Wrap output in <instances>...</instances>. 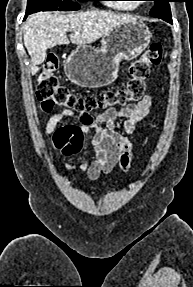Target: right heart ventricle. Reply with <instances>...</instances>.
<instances>
[{
  "label": "right heart ventricle",
  "mask_w": 193,
  "mask_h": 287,
  "mask_svg": "<svg viewBox=\"0 0 193 287\" xmlns=\"http://www.w3.org/2000/svg\"><path fill=\"white\" fill-rule=\"evenodd\" d=\"M112 6L120 10H131L133 8V6L129 3H116L112 4Z\"/></svg>",
  "instance_id": "right-heart-ventricle-1"
}]
</instances>
